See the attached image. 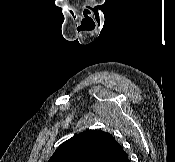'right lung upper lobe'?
<instances>
[{"instance_id": "1", "label": "right lung upper lobe", "mask_w": 175, "mask_h": 162, "mask_svg": "<svg viewBox=\"0 0 175 162\" xmlns=\"http://www.w3.org/2000/svg\"><path fill=\"white\" fill-rule=\"evenodd\" d=\"M125 156L111 134L86 130L63 142L48 162H119Z\"/></svg>"}]
</instances>
